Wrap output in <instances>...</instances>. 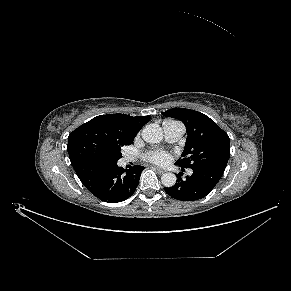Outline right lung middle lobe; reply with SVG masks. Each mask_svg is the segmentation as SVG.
Returning a JSON list of instances; mask_svg holds the SVG:
<instances>
[{
  "label": "right lung middle lobe",
  "mask_w": 291,
  "mask_h": 291,
  "mask_svg": "<svg viewBox=\"0 0 291 291\" xmlns=\"http://www.w3.org/2000/svg\"><path fill=\"white\" fill-rule=\"evenodd\" d=\"M121 148L96 150L92 153L91 157H101L112 161H118L122 157Z\"/></svg>",
  "instance_id": "right-lung-middle-lobe-1"
}]
</instances>
